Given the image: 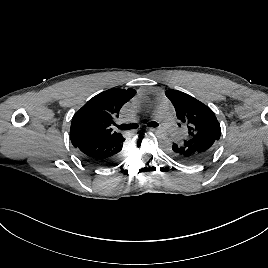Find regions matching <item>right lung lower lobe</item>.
<instances>
[{"label": "right lung lower lobe", "instance_id": "right-lung-lower-lobe-1", "mask_svg": "<svg viewBox=\"0 0 268 268\" xmlns=\"http://www.w3.org/2000/svg\"><path fill=\"white\" fill-rule=\"evenodd\" d=\"M124 141V137L120 136L108 141L84 142L74 147L83 160L95 165L109 166L120 158Z\"/></svg>", "mask_w": 268, "mask_h": 268}]
</instances>
